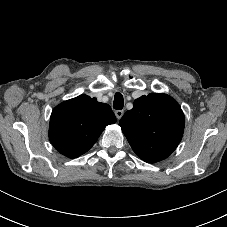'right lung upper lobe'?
Wrapping results in <instances>:
<instances>
[{"label":"right lung upper lobe","instance_id":"1","mask_svg":"<svg viewBox=\"0 0 227 227\" xmlns=\"http://www.w3.org/2000/svg\"><path fill=\"white\" fill-rule=\"evenodd\" d=\"M115 122V114L108 104L80 95L54 108L49 139L61 154L77 158L95 144L107 125Z\"/></svg>","mask_w":227,"mask_h":227}]
</instances>
